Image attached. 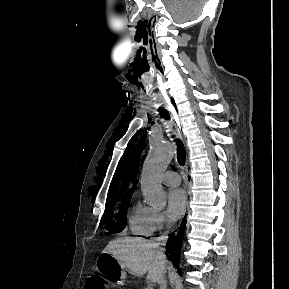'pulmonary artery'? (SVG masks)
<instances>
[{"mask_svg":"<svg viewBox=\"0 0 289 289\" xmlns=\"http://www.w3.org/2000/svg\"><path fill=\"white\" fill-rule=\"evenodd\" d=\"M162 182L171 187L178 186L180 184V177L175 171H166L162 177Z\"/></svg>","mask_w":289,"mask_h":289,"instance_id":"pulmonary-artery-1","label":"pulmonary artery"}]
</instances>
